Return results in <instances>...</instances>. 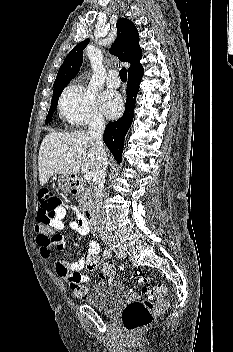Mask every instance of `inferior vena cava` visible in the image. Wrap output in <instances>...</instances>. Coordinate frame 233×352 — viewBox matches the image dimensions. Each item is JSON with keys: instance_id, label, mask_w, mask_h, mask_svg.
Listing matches in <instances>:
<instances>
[{"instance_id": "1", "label": "inferior vena cava", "mask_w": 233, "mask_h": 352, "mask_svg": "<svg viewBox=\"0 0 233 352\" xmlns=\"http://www.w3.org/2000/svg\"><path fill=\"white\" fill-rule=\"evenodd\" d=\"M104 129L105 121L103 116L100 114H94L90 120L88 129L90 139L94 141L98 151L97 164L93 174V219L98 226L100 237L107 243L110 241V237L105 229V216L102 209L103 186L108 166L107 154L103 144Z\"/></svg>"}]
</instances>
